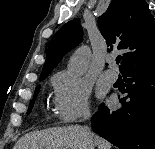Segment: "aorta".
<instances>
[{
	"instance_id": "obj_1",
	"label": "aorta",
	"mask_w": 155,
	"mask_h": 149,
	"mask_svg": "<svg viewBox=\"0 0 155 149\" xmlns=\"http://www.w3.org/2000/svg\"><path fill=\"white\" fill-rule=\"evenodd\" d=\"M88 61V48L85 46L78 48L68 62L67 71L69 75L73 77L84 75L87 70Z\"/></svg>"
}]
</instances>
